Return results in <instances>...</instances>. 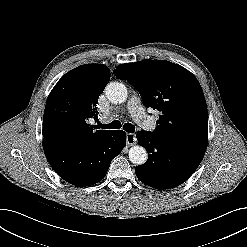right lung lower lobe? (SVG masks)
I'll return each mask as SVG.
<instances>
[{
  "instance_id": "1",
  "label": "right lung lower lobe",
  "mask_w": 247,
  "mask_h": 247,
  "mask_svg": "<svg viewBox=\"0 0 247 247\" xmlns=\"http://www.w3.org/2000/svg\"><path fill=\"white\" fill-rule=\"evenodd\" d=\"M126 145V133L115 130L90 147L69 149L43 141V149L54 171L76 186H89L102 180L113 158Z\"/></svg>"
}]
</instances>
